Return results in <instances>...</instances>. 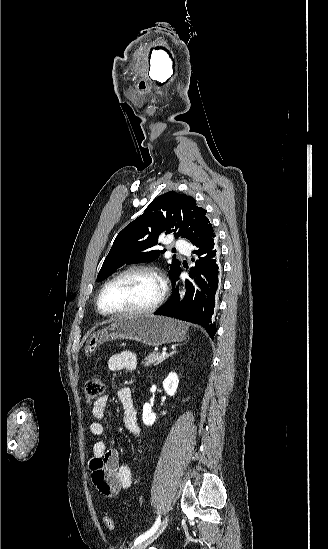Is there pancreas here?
<instances>
[{
  "label": "pancreas",
  "mask_w": 328,
  "mask_h": 549,
  "mask_svg": "<svg viewBox=\"0 0 328 549\" xmlns=\"http://www.w3.org/2000/svg\"><path fill=\"white\" fill-rule=\"evenodd\" d=\"M165 359H167V357H162L160 353H150V355H147L144 361H142V365H144V363V367H150V365H159V363H163Z\"/></svg>",
  "instance_id": "1"
}]
</instances>
